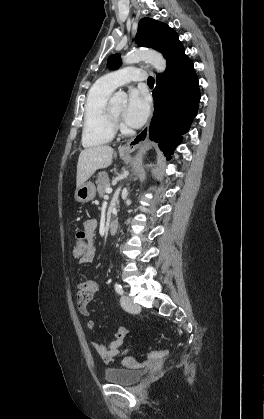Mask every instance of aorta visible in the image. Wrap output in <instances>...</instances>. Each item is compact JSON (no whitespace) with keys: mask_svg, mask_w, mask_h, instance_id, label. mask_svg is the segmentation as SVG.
Segmentation results:
<instances>
[{"mask_svg":"<svg viewBox=\"0 0 264 419\" xmlns=\"http://www.w3.org/2000/svg\"><path fill=\"white\" fill-rule=\"evenodd\" d=\"M124 64H133L139 61H146L151 64L158 72L162 73L166 69V60L157 51L154 50H134L125 55L122 59ZM112 104L125 103L127 95L124 92H117L111 98Z\"/></svg>","mask_w":264,"mask_h":419,"instance_id":"762f6f07","label":"aorta"}]
</instances>
